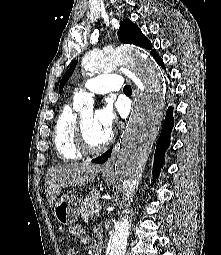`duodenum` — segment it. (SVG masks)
Wrapping results in <instances>:
<instances>
[{
  "mask_svg": "<svg viewBox=\"0 0 221 255\" xmlns=\"http://www.w3.org/2000/svg\"><path fill=\"white\" fill-rule=\"evenodd\" d=\"M101 254H102V246L100 243H97L94 250V255H101Z\"/></svg>",
  "mask_w": 221,
  "mask_h": 255,
  "instance_id": "1",
  "label": "duodenum"
}]
</instances>
